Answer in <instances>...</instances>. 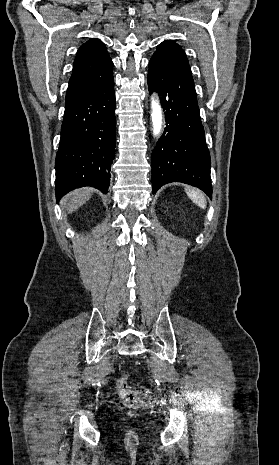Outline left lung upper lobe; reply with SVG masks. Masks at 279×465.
I'll list each match as a JSON object with an SVG mask.
<instances>
[{
    "mask_svg": "<svg viewBox=\"0 0 279 465\" xmlns=\"http://www.w3.org/2000/svg\"><path fill=\"white\" fill-rule=\"evenodd\" d=\"M153 56L163 57L190 67L183 49L172 40H165L159 44Z\"/></svg>",
    "mask_w": 279,
    "mask_h": 465,
    "instance_id": "5c2ea615",
    "label": "left lung upper lobe"
}]
</instances>
